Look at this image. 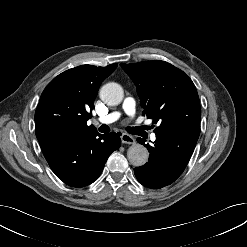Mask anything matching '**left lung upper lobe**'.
Instances as JSON below:
<instances>
[{
    "mask_svg": "<svg viewBox=\"0 0 247 247\" xmlns=\"http://www.w3.org/2000/svg\"><path fill=\"white\" fill-rule=\"evenodd\" d=\"M121 67L133 80L155 134L174 133L198 139L201 110L196 87L180 69L165 61H144Z\"/></svg>",
    "mask_w": 247,
    "mask_h": 247,
    "instance_id": "obj_1",
    "label": "left lung upper lobe"
}]
</instances>
